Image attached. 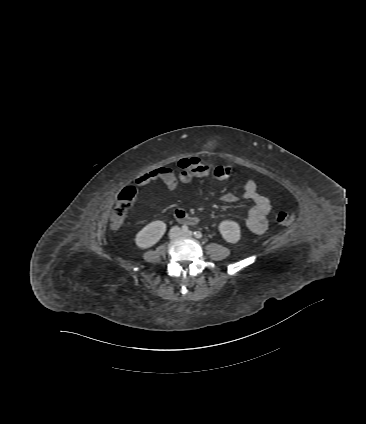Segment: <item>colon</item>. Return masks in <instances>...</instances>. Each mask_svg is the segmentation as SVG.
I'll return each mask as SVG.
<instances>
[{"instance_id": "1", "label": "colon", "mask_w": 366, "mask_h": 424, "mask_svg": "<svg viewBox=\"0 0 366 424\" xmlns=\"http://www.w3.org/2000/svg\"><path fill=\"white\" fill-rule=\"evenodd\" d=\"M209 173V168L198 158H186L179 162V174L182 180L204 177ZM215 178L229 180L235 177L236 169L233 165H219L212 170ZM136 187L128 186L119 195L109 217L112 229H119L124 223L129 208L136 196ZM277 222L282 226H290L295 220L294 211H281L277 214Z\"/></svg>"}]
</instances>
